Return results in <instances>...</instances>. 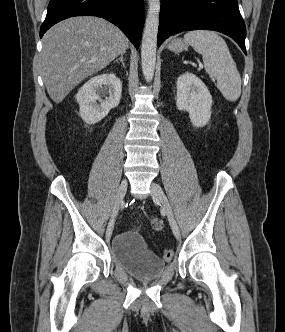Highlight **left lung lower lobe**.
<instances>
[{
	"label": "left lung lower lobe",
	"mask_w": 285,
	"mask_h": 332,
	"mask_svg": "<svg viewBox=\"0 0 285 332\" xmlns=\"http://www.w3.org/2000/svg\"><path fill=\"white\" fill-rule=\"evenodd\" d=\"M196 29L224 33L246 54V27L237 0H161L157 46L171 35Z\"/></svg>",
	"instance_id": "left-lung-lower-lobe-1"
}]
</instances>
